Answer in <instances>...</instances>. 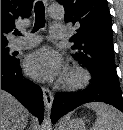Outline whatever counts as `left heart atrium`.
Listing matches in <instances>:
<instances>
[{
  "label": "left heart atrium",
  "instance_id": "left-heart-atrium-1",
  "mask_svg": "<svg viewBox=\"0 0 123 130\" xmlns=\"http://www.w3.org/2000/svg\"><path fill=\"white\" fill-rule=\"evenodd\" d=\"M63 60L49 47L31 53L25 61L26 72L39 80H52L63 73Z\"/></svg>",
  "mask_w": 123,
  "mask_h": 130
}]
</instances>
